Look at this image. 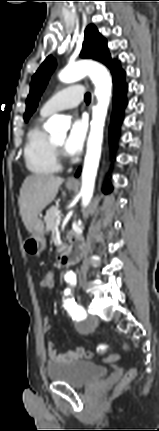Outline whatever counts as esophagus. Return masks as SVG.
<instances>
[{"label":"esophagus","mask_w":159,"mask_h":431,"mask_svg":"<svg viewBox=\"0 0 159 431\" xmlns=\"http://www.w3.org/2000/svg\"><path fill=\"white\" fill-rule=\"evenodd\" d=\"M67 183H68V184H77V183H78V181H77V179H75V178L71 177V178H69V179L67 180Z\"/></svg>","instance_id":"obj_1"}]
</instances>
